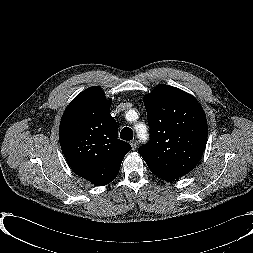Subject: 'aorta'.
I'll list each match as a JSON object with an SVG mask.
<instances>
[{
  "label": "aorta",
  "mask_w": 253,
  "mask_h": 253,
  "mask_svg": "<svg viewBox=\"0 0 253 253\" xmlns=\"http://www.w3.org/2000/svg\"><path fill=\"white\" fill-rule=\"evenodd\" d=\"M136 130H137V133L139 135V137L141 138H146L147 136V132H146V127L145 125L143 124H139L138 126H136Z\"/></svg>",
  "instance_id": "aorta-1"
}]
</instances>
